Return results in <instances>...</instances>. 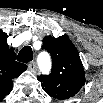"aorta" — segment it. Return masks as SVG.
I'll list each match as a JSON object with an SVG mask.
<instances>
[{
    "instance_id": "1",
    "label": "aorta",
    "mask_w": 103,
    "mask_h": 103,
    "mask_svg": "<svg viewBox=\"0 0 103 103\" xmlns=\"http://www.w3.org/2000/svg\"><path fill=\"white\" fill-rule=\"evenodd\" d=\"M38 64L42 70H48L50 67V57L45 52L39 54Z\"/></svg>"
}]
</instances>
